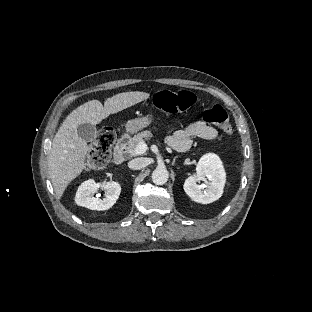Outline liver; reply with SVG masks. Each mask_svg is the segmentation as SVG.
<instances>
[{
  "label": "liver",
  "mask_w": 312,
  "mask_h": 312,
  "mask_svg": "<svg viewBox=\"0 0 312 312\" xmlns=\"http://www.w3.org/2000/svg\"><path fill=\"white\" fill-rule=\"evenodd\" d=\"M145 92L119 93L104 102L91 100L73 110L55 134L48 155L49 176L58 199L68 184L85 169V158L89 150L87 142L77 134L83 123L99 124L110 114L117 113L149 98Z\"/></svg>",
  "instance_id": "6515ba94"
}]
</instances>
